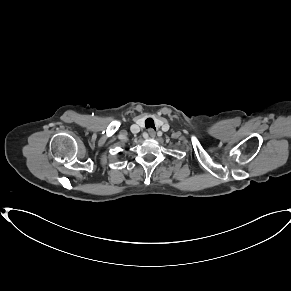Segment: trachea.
Listing matches in <instances>:
<instances>
[{
  "label": "trachea",
  "mask_w": 291,
  "mask_h": 291,
  "mask_svg": "<svg viewBox=\"0 0 291 291\" xmlns=\"http://www.w3.org/2000/svg\"><path fill=\"white\" fill-rule=\"evenodd\" d=\"M145 126H146V128H150L151 127L153 129H155L154 120L152 118H147L145 120Z\"/></svg>",
  "instance_id": "obj_1"
}]
</instances>
